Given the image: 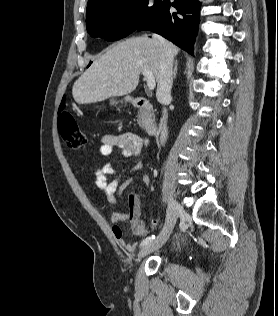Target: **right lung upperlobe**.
Returning a JSON list of instances; mask_svg holds the SVG:
<instances>
[{
  "mask_svg": "<svg viewBox=\"0 0 278 316\" xmlns=\"http://www.w3.org/2000/svg\"><path fill=\"white\" fill-rule=\"evenodd\" d=\"M107 1L110 0H88V4H87V11H89L90 9H92L93 7L100 5L102 3H105Z\"/></svg>",
  "mask_w": 278,
  "mask_h": 316,
  "instance_id": "obj_1",
  "label": "right lung upper lobe"
}]
</instances>
